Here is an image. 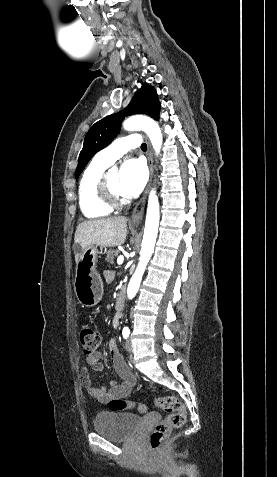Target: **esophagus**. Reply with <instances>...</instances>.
<instances>
[{
	"label": "esophagus",
	"instance_id": "1",
	"mask_svg": "<svg viewBox=\"0 0 277 477\" xmlns=\"http://www.w3.org/2000/svg\"><path fill=\"white\" fill-rule=\"evenodd\" d=\"M145 139L147 141V158H148V165H149V170H150V178H149L148 185H147L142 197L139 199V201L136 203V205L133 209V212H132V215H131V218H130V223L131 224H138L143 218L146 199H147V195L149 193L151 181H152V178H153L152 147H151L150 142L147 140V137H145Z\"/></svg>",
	"mask_w": 277,
	"mask_h": 477
}]
</instances>
